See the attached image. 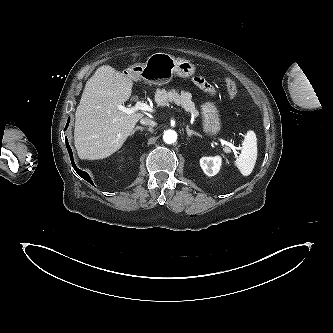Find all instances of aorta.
Instances as JSON below:
<instances>
[{
    "label": "aorta",
    "mask_w": 333,
    "mask_h": 333,
    "mask_svg": "<svg viewBox=\"0 0 333 333\" xmlns=\"http://www.w3.org/2000/svg\"><path fill=\"white\" fill-rule=\"evenodd\" d=\"M163 140L167 144H172L177 140V133L173 130H167L164 132Z\"/></svg>",
    "instance_id": "aorta-1"
}]
</instances>
